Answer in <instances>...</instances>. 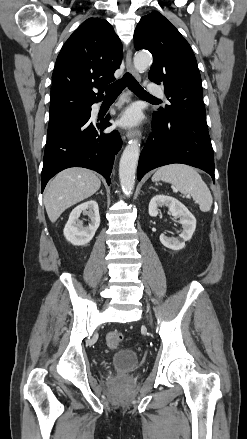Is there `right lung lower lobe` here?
Returning <instances> with one entry per match:
<instances>
[{
    "mask_svg": "<svg viewBox=\"0 0 247 439\" xmlns=\"http://www.w3.org/2000/svg\"><path fill=\"white\" fill-rule=\"evenodd\" d=\"M92 104L75 112L71 117L48 126L42 192L55 174L69 167L97 171L110 184L114 157L122 146V140L116 130L104 132L111 126L110 115L99 121L90 119Z\"/></svg>",
    "mask_w": 247,
    "mask_h": 439,
    "instance_id": "right-lung-lower-lobe-1",
    "label": "right lung lower lobe"
}]
</instances>
